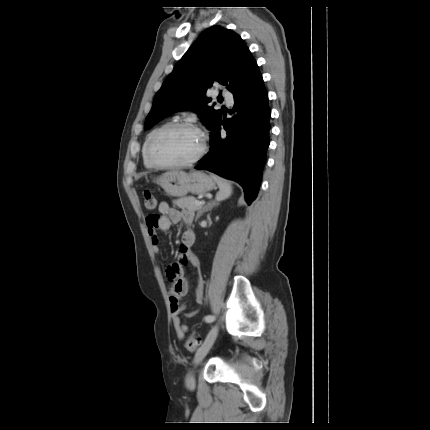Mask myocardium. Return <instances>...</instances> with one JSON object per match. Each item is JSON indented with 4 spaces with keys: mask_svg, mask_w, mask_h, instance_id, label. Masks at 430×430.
<instances>
[{
    "mask_svg": "<svg viewBox=\"0 0 430 430\" xmlns=\"http://www.w3.org/2000/svg\"><path fill=\"white\" fill-rule=\"evenodd\" d=\"M177 128H186V129L194 130L200 134V136L202 138V144H201V148H200L199 152L193 158L186 160V161H183V162L163 163V162L158 161L152 154L153 143L155 142V140L157 138H159L164 133L171 131L173 129H177ZM206 151H207V136H206V134L198 126H196L195 124L188 122V121H175V122H171V123L164 125L160 129H158L154 134H152V136L149 138L147 145H146V155H147L148 160L150 161V163L152 165H154L155 167L160 168V169H173V168H183V167L191 166V165L197 163L200 159H202L203 156L205 155Z\"/></svg>",
    "mask_w": 430,
    "mask_h": 430,
    "instance_id": "1",
    "label": "myocardium"
}]
</instances>
